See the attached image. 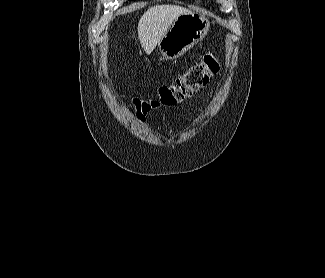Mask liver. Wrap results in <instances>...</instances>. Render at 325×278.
I'll list each match as a JSON object with an SVG mask.
<instances>
[{
	"mask_svg": "<svg viewBox=\"0 0 325 278\" xmlns=\"http://www.w3.org/2000/svg\"><path fill=\"white\" fill-rule=\"evenodd\" d=\"M190 12L177 5H160L148 9L138 23V38L146 54L150 55L177 17Z\"/></svg>",
	"mask_w": 325,
	"mask_h": 278,
	"instance_id": "1",
	"label": "liver"
}]
</instances>
